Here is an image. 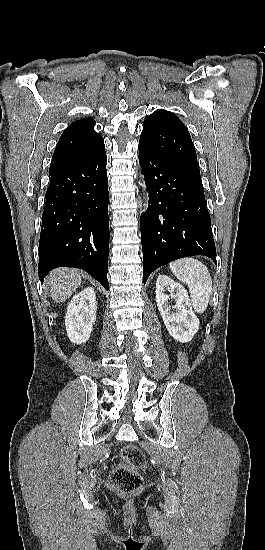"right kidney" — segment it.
Returning <instances> with one entry per match:
<instances>
[{
    "label": "right kidney",
    "mask_w": 265,
    "mask_h": 550,
    "mask_svg": "<svg viewBox=\"0 0 265 550\" xmlns=\"http://www.w3.org/2000/svg\"><path fill=\"white\" fill-rule=\"evenodd\" d=\"M96 311V295L92 287L72 298L65 317L66 331L71 342L82 344L89 339L96 320Z\"/></svg>",
    "instance_id": "obj_1"
}]
</instances>
